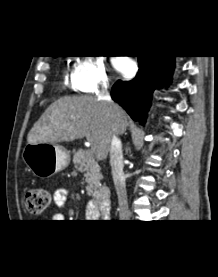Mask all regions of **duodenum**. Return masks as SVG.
I'll return each instance as SVG.
<instances>
[{
    "label": "duodenum",
    "mask_w": 218,
    "mask_h": 277,
    "mask_svg": "<svg viewBox=\"0 0 218 277\" xmlns=\"http://www.w3.org/2000/svg\"><path fill=\"white\" fill-rule=\"evenodd\" d=\"M95 201L104 213L109 212L111 205V190L108 187H102L97 190L95 194Z\"/></svg>",
    "instance_id": "obj_1"
}]
</instances>
